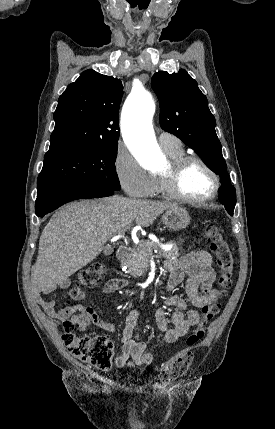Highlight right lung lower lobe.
Returning a JSON list of instances; mask_svg holds the SVG:
<instances>
[{"mask_svg":"<svg viewBox=\"0 0 275 429\" xmlns=\"http://www.w3.org/2000/svg\"><path fill=\"white\" fill-rule=\"evenodd\" d=\"M115 190L100 186L87 184L68 186L49 192L43 196L37 197L35 203V212L38 217H43L52 212L59 206L82 198L107 197L114 194Z\"/></svg>","mask_w":275,"mask_h":429,"instance_id":"obj_1","label":"right lung lower lobe"}]
</instances>
